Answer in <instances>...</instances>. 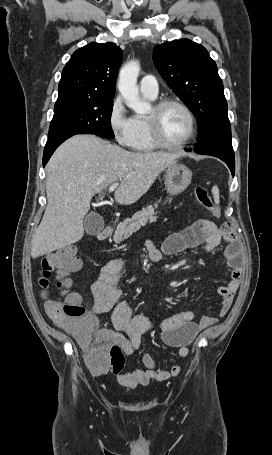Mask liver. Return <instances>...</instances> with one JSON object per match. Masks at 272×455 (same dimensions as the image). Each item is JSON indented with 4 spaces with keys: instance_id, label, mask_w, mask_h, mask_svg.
<instances>
[{
    "instance_id": "liver-1",
    "label": "liver",
    "mask_w": 272,
    "mask_h": 455,
    "mask_svg": "<svg viewBox=\"0 0 272 455\" xmlns=\"http://www.w3.org/2000/svg\"><path fill=\"white\" fill-rule=\"evenodd\" d=\"M179 156L130 152L94 135H77L65 141L46 166L47 206L32 237V258L74 244L83 237V221L95 194L120 180L115 200L131 205Z\"/></svg>"
}]
</instances>
